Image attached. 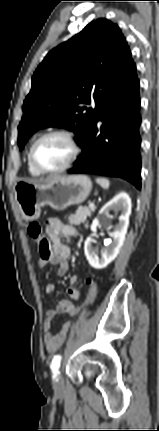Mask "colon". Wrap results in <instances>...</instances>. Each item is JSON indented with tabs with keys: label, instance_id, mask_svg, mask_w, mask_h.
I'll return each mask as SVG.
<instances>
[{
	"label": "colon",
	"instance_id": "colon-1",
	"mask_svg": "<svg viewBox=\"0 0 159 431\" xmlns=\"http://www.w3.org/2000/svg\"><path fill=\"white\" fill-rule=\"evenodd\" d=\"M28 233L32 238L37 239V241L39 242L44 240V237L41 236L42 229L38 222L33 221L29 224ZM87 283L89 284L88 294L86 295L85 298H83V302H81V305H78V307H75V310L69 311V315H68L69 319H74L75 317H77L79 312L83 311V307H91L92 304H96V301H98L99 296L96 293V290L98 288L97 282L92 276H89L87 278Z\"/></svg>",
	"mask_w": 159,
	"mask_h": 431
}]
</instances>
